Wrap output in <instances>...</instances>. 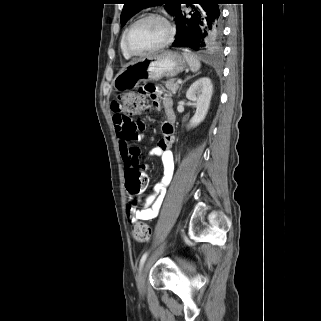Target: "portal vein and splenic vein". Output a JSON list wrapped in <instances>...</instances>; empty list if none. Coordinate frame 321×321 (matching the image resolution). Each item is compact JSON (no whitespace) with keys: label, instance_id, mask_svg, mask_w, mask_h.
I'll use <instances>...</instances> for the list:
<instances>
[{"label":"portal vein and splenic vein","instance_id":"portal-vein-and-splenic-vein-1","mask_svg":"<svg viewBox=\"0 0 321 321\" xmlns=\"http://www.w3.org/2000/svg\"><path fill=\"white\" fill-rule=\"evenodd\" d=\"M182 83V80L181 79H178L177 80V84H181Z\"/></svg>","mask_w":321,"mask_h":321}]
</instances>
